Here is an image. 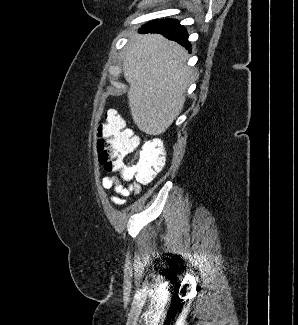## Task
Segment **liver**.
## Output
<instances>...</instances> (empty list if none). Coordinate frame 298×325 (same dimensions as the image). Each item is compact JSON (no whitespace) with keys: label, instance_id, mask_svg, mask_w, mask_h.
<instances>
[{"label":"liver","instance_id":"obj_1","mask_svg":"<svg viewBox=\"0 0 298 325\" xmlns=\"http://www.w3.org/2000/svg\"><path fill=\"white\" fill-rule=\"evenodd\" d=\"M125 48L123 74L129 82L131 116L146 134H163L180 114L191 70L188 52L162 34H134Z\"/></svg>","mask_w":298,"mask_h":325}]
</instances>
